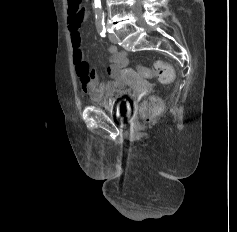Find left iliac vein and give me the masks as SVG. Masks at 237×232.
<instances>
[{"instance_id": "obj_1", "label": "left iliac vein", "mask_w": 237, "mask_h": 232, "mask_svg": "<svg viewBox=\"0 0 237 232\" xmlns=\"http://www.w3.org/2000/svg\"><path fill=\"white\" fill-rule=\"evenodd\" d=\"M108 37H109V40H110L113 44H117V43H118V39H117V37H116L114 34L110 33V34L108 35Z\"/></svg>"}]
</instances>
